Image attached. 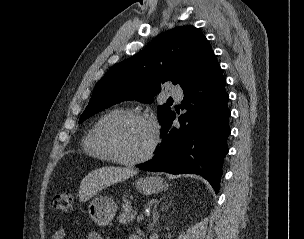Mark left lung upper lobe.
Masks as SVG:
<instances>
[{
	"mask_svg": "<svg viewBox=\"0 0 304 239\" xmlns=\"http://www.w3.org/2000/svg\"><path fill=\"white\" fill-rule=\"evenodd\" d=\"M214 54L206 37L194 26H181L158 35L145 49L112 66L96 84L79 123L125 100L152 102L161 84L171 81L187 89ZM172 113L158 107L161 124Z\"/></svg>",
	"mask_w": 304,
	"mask_h": 239,
	"instance_id": "5c2ea615",
	"label": "left lung upper lobe"
}]
</instances>
